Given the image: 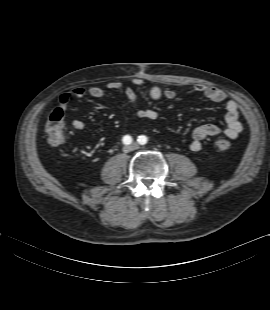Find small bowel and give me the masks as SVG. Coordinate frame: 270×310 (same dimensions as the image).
Listing matches in <instances>:
<instances>
[{"label": "small bowel", "instance_id": "c3829d8e", "mask_svg": "<svg viewBox=\"0 0 270 310\" xmlns=\"http://www.w3.org/2000/svg\"><path fill=\"white\" fill-rule=\"evenodd\" d=\"M142 85L143 81L140 78H133L130 81V86L126 87L117 81L109 82L105 88L98 86H90L88 88L75 87L59 97L58 108L66 111L72 99L82 98L85 95H89L93 98H103L111 92L123 91L137 117L155 121L159 118L158 112L155 109L142 108L139 105L138 96L134 88L141 87ZM194 91L213 102L225 103L226 126L222 129L215 124L208 123L196 127L192 133L190 149L194 152L201 150L202 140L220 133H223L230 139L237 138L243 129L242 123L239 120L240 110L238 103L233 99H228L227 94L216 87L197 84L194 86ZM175 96L176 94L174 91L163 90L158 86H151L149 89V97L152 100H160L162 98L173 99ZM71 126L73 129L79 131L86 128V124L78 119L73 120Z\"/></svg>", "mask_w": 270, "mask_h": 310}]
</instances>
